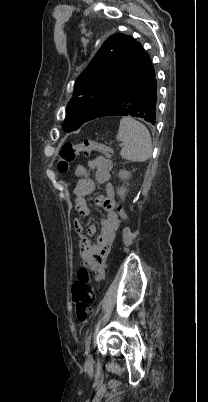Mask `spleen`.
I'll list each match as a JSON object with an SVG mask.
<instances>
[{
    "label": "spleen",
    "instance_id": "obj_1",
    "mask_svg": "<svg viewBox=\"0 0 208 402\" xmlns=\"http://www.w3.org/2000/svg\"><path fill=\"white\" fill-rule=\"evenodd\" d=\"M117 140L124 144L120 152L124 160L146 162L151 158L152 140L149 130L130 116L120 120Z\"/></svg>",
    "mask_w": 208,
    "mask_h": 402
}]
</instances>
